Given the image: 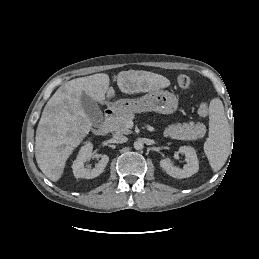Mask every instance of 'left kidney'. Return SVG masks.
Wrapping results in <instances>:
<instances>
[{
  "instance_id": "left-kidney-1",
  "label": "left kidney",
  "mask_w": 259,
  "mask_h": 259,
  "mask_svg": "<svg viewBox=\"0 0 259 259\" xmlns=\"http://www.w3.org/2000/svg\"><path fill=\"white\" fill-rule=\"evenodd\" d=\"M179 152L185 155L187 160V164H185L182 169L174 166L171 163V159L169 157L162 159L160 161V166L171 177L179 178V179L191 177L199 170V162H198L196 151L193 147L181 146L179 148Z\"/></svg>"
}]
</instances>
